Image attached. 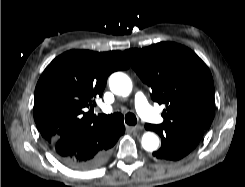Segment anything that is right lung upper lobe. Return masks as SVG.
<instances>
[{
    "instance_id": "obj_1",
    "label": "right lung upper lobe",
    "mask_w": 245,
    "mask_h": 187,
    "mask_svg": "<svg viewBox=\"0 0 245 187\" xmlns=\"http://www.w3.org/2000/svg\"><path fill=\"white\" fill-rule=\"evenodd\" d=\"M127 68L120 51L70 50L55 58L35 88L34 119L42 137L52 144L87 128L106 126L84 109L96 105L112 72Z\"/></svg>"
}]
</instances>
